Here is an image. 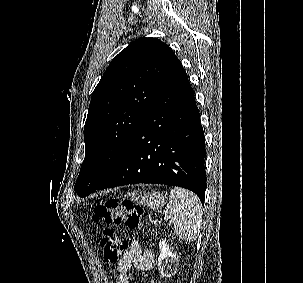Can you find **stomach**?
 Returning a JSON list of instances; mask_svg holds the SVG:
<instances>
[{
  "instance_id": "1",
  "label": "stomach",
  "mask_w": 303,
  "mask_h": 283,
  "mask_svg": "<svg viewBox=\"0 0 303 283\" xmlns=\"http://www.w3.org/2000/svg\"><path fill=\"white\" fill-rule=\"evenodd\" d=\"M131 200L137 202L139 205H147L153 210H158L164 206L166 196L159 192L144 193L143 195L136 193L131 197Z\"/></svg>"
}]
</instances>
